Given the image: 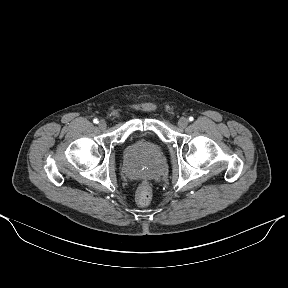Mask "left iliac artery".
Returning <instances> with one entry per match:
<instances>
[{
    "label": "left iliac artery",
    "instance_id": "left-iliac-artery-1",
    "mask_svg": "<svg viewBox=\"0 0 288 288\" xmlns=\"http://www.w3.org/2000/svg\"><path fill=\"white\" fill-rule=\"evenodd\" d=\"M194 120V118L191 116V117H189V121H193Z\"/></svg>",
    "mask_w": 288,
    "mask_h": 288
}]
</instances>
